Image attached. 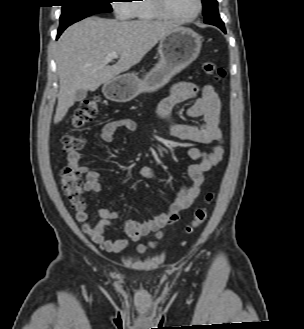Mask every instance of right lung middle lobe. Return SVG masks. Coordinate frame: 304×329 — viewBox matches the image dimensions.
<instances>
[{"label": "right lung middle lobe", "mask_w": 304, "mask_h": 329, "mask_svg": "<svg viewBox=\"0 0 304 329\" xmlns=\"http://www.w3.org/2000/svg\"><path fill=\"white\" fill-rule=\"evenodd\" d=\"M62 12L59 29L80 21L93 14L111 12L110 0H61Z\"/></svg>", "instance_id": "right-lung-middle-lobe-1"}]
</instances>
